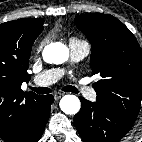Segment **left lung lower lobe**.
Segmentation results:
<instances>
[{
    "label": "left lung lower lobe",
    "mask_w": 142,
    "mask_h": 142,
    "mask_svg": "<svg viewBox=\"0 0 142 142\" xmlns=\"http://www.w3.org/2000/svg\"><path fill=\"white\" fill-rule=\"evenodd\" d=\"M82 107L74 124L86 142H118L131 129L135 120L126 118L99 101L80 98Z\"/></svg>",
    "instance_id": "1"
}]
</instances>
